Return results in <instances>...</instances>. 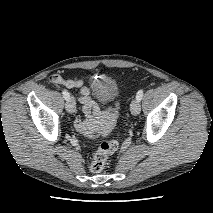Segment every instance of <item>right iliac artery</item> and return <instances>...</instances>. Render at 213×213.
<instances>
[{
	"instance_id": "82829eb1",
	"label": "right iliac artery",
	"mask_w": 213,
	"mask_h": 213,
	"mask_svg": "<svg viewBox=\"0 0 213 213\" xmlns=\"http://www.w3.org/2000/svg\"><path fill=\"white\" fill-rule=\"evenodd\" d=\"M62 94H63V97H64L66 100H68V99L70 98V94H69L68 91L63 90V91H62Z\"/></svg>"
}]
</instances>
